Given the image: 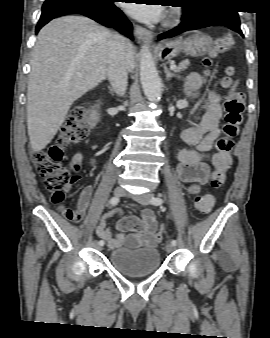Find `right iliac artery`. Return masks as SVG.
<instances>
[{
	"instance_id": "1",
	"label": "right iliac artery",
	"mask_w": 270,
	"mask_h": 338,
	"mask_svg": "<svg viewBox=\"0 0 270 338\" xmlns=\"http://www.w3.org/2000/svg\"><path fill=\"white\" fill-rule=\"evenodd\" d=\"M118 202H119V198L116 197V196H115V197H112V198L110 199V204H111L112 206L118 204ZM98 244H99L100 246H103V245H104V241H103V240H100V241L98 242Z\"/></svg>"
}]
</instances>
